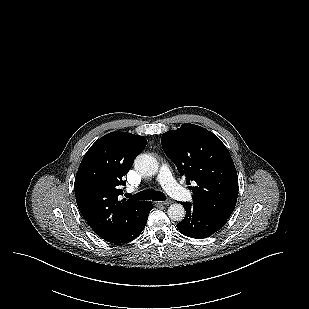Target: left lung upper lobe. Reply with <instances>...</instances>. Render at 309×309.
Listing matches in <instances>:
<instances>
[{
    "label": "left lung upper lobe",
    "instance_id": "obj_1",
    "mask_svg": "<svg viewBox=\"0 0 309 309\" xmlns=\"http://www.w3.org/2000/svg\"><path fill=\"white\" fill-rule=\"evenodd\" d=\"M162 148L174 162L201 203L227 217L238 197V176L226 146L212 132L194 124H183L162 135Z\"/></svg>",
    "mask_w": 309,
    "mask_h": 309
}]
</instances>
